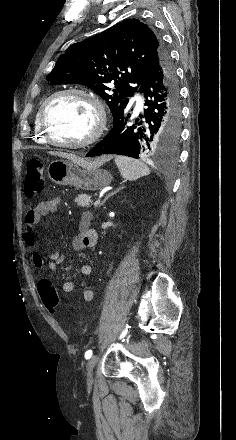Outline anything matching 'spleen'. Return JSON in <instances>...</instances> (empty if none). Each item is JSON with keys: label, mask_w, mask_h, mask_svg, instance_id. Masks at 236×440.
<instances>
[{"label": "spleen", "mask_w": 236, "mask_h": 440, "mask_svg": "<svg viewBox=\"0 0 236 440\" xmlns=\"http://www.w3.org/2000/svg\"><path fill=\"white\" fill-rule=\"evenodd\" d=\"M115 163L119 169L121 176L129 181H134L140 177L150 174L149 167L138 159L126 156H116Z\"/></svg>", "instance_id": "3e777b00"}]
</instances>
